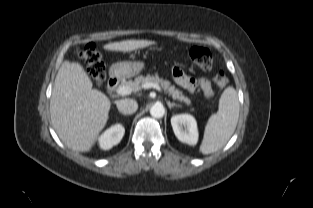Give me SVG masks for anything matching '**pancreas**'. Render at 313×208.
Here are the masks:
<instances>
[{
    "instance_id": "pancreas-1",
    "label": "pancreas",
    "mask_w": 313,
    "mask_h": 208,
    "mask_svg": "<svg viewBox=\"0 0 313 208\" xmlns=\"http://www.w3.org/2000/svg\"><path fill=\"white\" fill-rule=\"evenodd\" d=\"M149 82L160 84L164 91L168 93L170 96H172L173 99L184 102L187 105L191 104V100L185 97L181 91L175 89L174 86L170 85L169 81L163 80L162 78H159L157 75L156 76L147 75L146 77L141 75L136 77L134 81L130 80L122 82L121 86H128L132 89V91L137 92L143 88V85L145 83Z\"/></svg>"
}]
</instances>
